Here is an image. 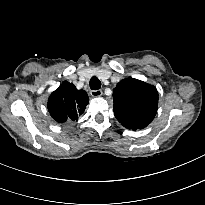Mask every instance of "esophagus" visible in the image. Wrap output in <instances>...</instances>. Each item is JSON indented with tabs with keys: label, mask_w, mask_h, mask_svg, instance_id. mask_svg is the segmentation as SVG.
Masks as SVG:
<instances>
[{
	"label": "esophagus",
	"mask_w": 205,
	"mask_h": 205,
	"mask_svg": "<svg viewBox=\"0 0 205 205\" xmlns=\"http://www.w3.org/2000/svg\"><path fill=\"white\" fill-rule=\"evenodd\" d=\"M90 94L92 97H100L102 95V90H92Z\"/></svg>",
	"instance_id": "obj_1"
}]
</instances>
